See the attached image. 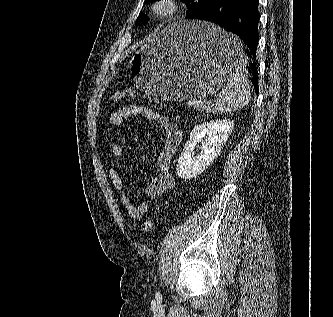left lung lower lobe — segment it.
<instances>
[{"label":"left lung lower lobe","instance_id":"0a47b994","mask_svg":"<svg viewBox=\"0 0 333 317\" xmlns=\"http://www.w3.org/2000/svg\"><path fill=\"white\" fill-rule=\"evenodd\" d=\"M258 4L259 0H213L188 18L211 22L227 32L236 34L247 45L250 57L256 59L260 18ZM222 51L226 54L229 52L226 46H222ZM249 66L250 80L258 91L257 64L252 62Z\"/></svg>","mask_w":333,"mask_h":317}]
</instances>
